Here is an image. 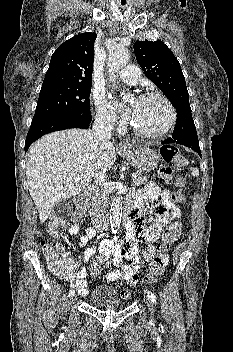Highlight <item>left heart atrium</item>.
<instances>
[{
  "label": "left heart atrium",
  "instance_id": "obj_1",
  "mask_svg": "<svg viewBox=\"0 0 233 352\" xmlns=\"http://www.w3.org/2000/svg\"><path fill=\"white\" fill-rule=\"evenodd\" d=\"M126 117L129 118V119H131V117H132V111H131V109H129V110L126 112Z\"/></svg>",
  "mask_w": 233,
  "mask_h": 352
}]
</instances>
